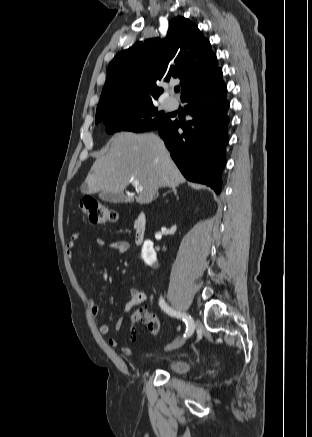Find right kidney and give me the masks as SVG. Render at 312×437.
<instances>
[{
	"label": "right kidney",
	"instance_id": "ca27d5eb",
	"mask_svg": "<svg viewBox=\"0 0 312 437\" xmlns=\"http://www.w3.org/2000/svg\"><path fill=\"white\" fill-rule=\"evenodd\" d=\"M141 257L144 262L148 265L153 266L154 268L158 267L156 252L153 248V242L150 240H146L143 244Z\"/></svg>",
	"mask_w": 312,
	"mask_h": 437
}]
</instances>
